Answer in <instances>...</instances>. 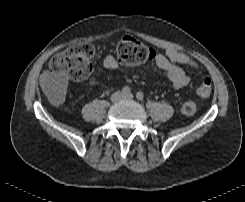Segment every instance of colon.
Here are the masks:
<instances>
[{"instance_id": "colon-1", "label": "colon", "mask_w": 245, "mask_h": 202, "mask_svg": "<svg viewBox=\"0 0 245 202\" xmlns=\"http://www.w3.org/2000/svg\"><path fill=\"white\" fill-rule=\"evenodd\" d=\"M117 57L121 62L139 66L154 59L155 50L149 45L132 35H124L116 45ZM94 56V47L90 43H81L70 46L65 50L54 55L50 61V70L54 74L64 75L74 81L87 78L92 72V59ZM178 62L196 67V63L184 54H179ZM213 92V84L210 78H205L196 89V95L199 98H207ZM56 99L61 97L57 91L51 92ZM194 101H188L182 106V114L192 116L196 112Z\"/></svg>"}]
</instances>
